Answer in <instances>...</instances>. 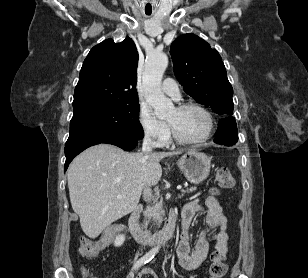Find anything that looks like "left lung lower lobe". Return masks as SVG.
<instances>
[{"label":"left lung lower lobe","mask_w":308,"mask_h":278,"mask_svg":"<svg viewBox=\"0 0 308 278\" xmlns=\"http://www.w3.org/2000/svg\"><path fill=\"white\" fill-rule=\"evenodd\" d=\"M238 141L237 125L233 117H227L219 122L215 133V143L232 146Z\"/></svg>","instance_id":"1"}]
</instances>
